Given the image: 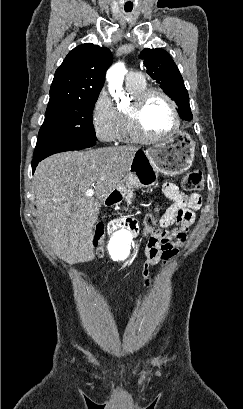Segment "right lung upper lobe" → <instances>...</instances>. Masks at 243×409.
Segmentation results:
<instances>
[{
	"mask_svg": "<svg viewBox=\"0 0 243 409\" xmlns=\"http://www.w3.org/2000/svg\"><path fill=\"white\" fill-rule=\"evenodd\" d=\"M111 64L109 49L92 43L77 46L56 70L49 102L97 99Z\"/></svg>",
	"mask_w": 243,
	"mask_h": 409,
	"instance_id": "1",
	"label": "right lung upper lobe"
}]
</instances>
